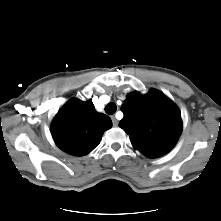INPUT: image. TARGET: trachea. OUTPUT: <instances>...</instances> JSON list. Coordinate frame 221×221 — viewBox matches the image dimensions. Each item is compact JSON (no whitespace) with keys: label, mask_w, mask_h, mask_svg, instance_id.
Returning a JSON list of instances; mask_svg holds the SVG:
<instances>
[{"label":"trachea","mask_w":221,"mask_h":221,"mask_svg":"<svg viewBox=\"0 0 221 221\" xmlns=\"http://www.w3.org/2000/svg\"><path fill=\"white\" fill-rule=\"evenodd\" d=\"M117 110V106L115 103L111 102L109 104L106 105L105 107V112L109 115H112L116 112Z\"/></svg>","instance_id":"trachea-1"}]
</instances>
